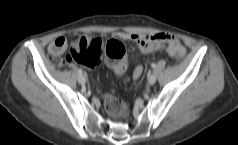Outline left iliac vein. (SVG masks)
<instances>
[{
  "instance_id": "4c4485c4",
  "label": "left iliac vein",
  "mask_w": 238,
  "mask_h": 145,
  "mask_svg": "<svg viewBox=\"0 0 238 145\" xmlns=\"http://www.w3.org/2000/svg\"><path fill=\"white\" fill-rule=\"evenodd\" d=\"M156 80H157L156 76L154 74H152L148 77L147 82L149 85H153V84H155Z\"/></svg>"
}]
</instances>
